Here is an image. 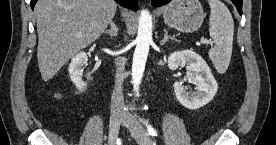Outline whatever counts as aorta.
<instances>
[{
  "label": "aorta",
  "instance_id": "obj_1",
  "mask_svg": "<svg viewBox=\"0 0 276 145\" xmlns=\"http://www.w3.org/2000/svg\"><path fill=\"white\" fill-rule=\"evenodd\" d=\"M151 42L152 16L149 11L142 10L139 17L138 32L135 40L136 48L132 63V83L135 92L139 90Z\"/></svg>",
  "mask_w": 276,
  "mask_h": 145
}]
</instances>
